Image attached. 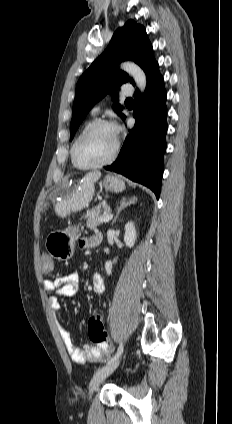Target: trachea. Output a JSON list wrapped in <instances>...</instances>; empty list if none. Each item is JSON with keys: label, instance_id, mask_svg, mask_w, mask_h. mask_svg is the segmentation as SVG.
I'll list each match as a JSON object with an SVG mask.
<instances>
[{"label": "trachea", "instance_id": "obj_1", "mask_svg": "<svg viewBox=\"0 0 232 424\" xmlns=\"http://www.w3.org/2000/svg\"><path fill=\"white\" fill-rule=\"evenodd\" d=\"M125 103H133V99L132 98H127L126 100H125Z\"/></svg>", "mask_w": 232, "mask_h": 424}]
</instances>
